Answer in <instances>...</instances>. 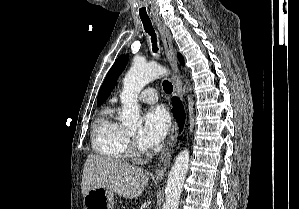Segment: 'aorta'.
<instances>
[{
  "label": "aorta",
  "instance_id": "obj_1",
  "mask_svg": "<svg viewBox=\"0 0 299 209\" xmlns=\"http://www.w3.org/2000/svg\"><path fill=\"white\" fill-rule=\"evenodd\" d=\"M168 71L157 63L135 62L127 72L123 91L120 95L122 113L120 120L123 125L130 128H140L142 120L139 113L140 106L137 101L140 91L151 81L167 74ZM189 151H181L170 170L165 189L166 199L162 209H178L179 200L189 168Z\"/></svg>",
  "mask_w": 299,
  "mask_h": 209
}]
</instances>
